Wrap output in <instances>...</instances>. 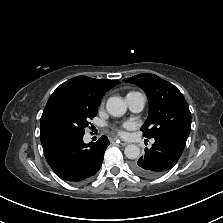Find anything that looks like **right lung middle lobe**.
<instances>
[{"label": "right lung middle lobe", "instance_id": "obj_1", "mask_svg": "<svg viewBox=\"0 0 223 223\" xmlns=\"http://www.w3.org/2000/svg\"><path fill=\"white\" fill-rule=\"evenodd\" d=\"M98 106L78 99H63L54 103L43 118L44 131L48 136L84 135L98 111Z\"/></svg>", "mask_w": 223, "mask_h": 223}]
</instances>
